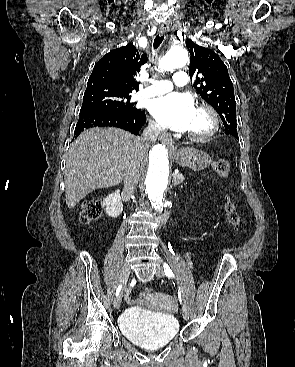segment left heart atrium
Instances as JSON below:
<instances>
[{
	"label": "left heart atrium",
	"instance_id": "obj_1",
	"mask_svg": "<svg viewBox=\"0 0 295 367\" xmlns=\"http://www.w3.org/2000/svg\"><path fill=\"white\" fill-rule=\"evenodd\" d=\"M149 110L160 124L177 131H187L196 112L193 99L183 93L154 99Z\"/></svg>",
	"mask_w": 295,
	"mask_h": 367
}]
</instances>
